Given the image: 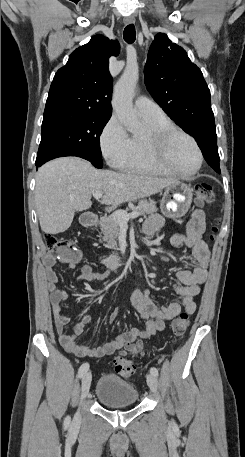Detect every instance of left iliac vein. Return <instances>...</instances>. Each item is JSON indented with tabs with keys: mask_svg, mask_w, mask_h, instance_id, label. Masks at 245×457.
Listing matches in <instances>:
<instances>
[{
	"mask_svg": "<svg viewBox=\"0 0 245 457\" xmlns=\"http://www.w3.org/2000/svg\"><path fill=\"white\" fill-rule=\"evenodd\" d=\"M147 381L151 392L156 393L158 386L157 377L154 374H148Z\"/></svg>",
	"mask_w": 245,
	"mask_h": 457,
	"instance_id": "obj_1",
	"label": "left iliac vein"
}]
</instances>
